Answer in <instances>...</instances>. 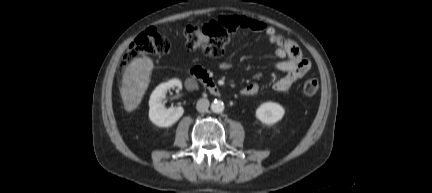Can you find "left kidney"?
<instances>
[{"mask_svg": "<svg viewBox=\"0 0 432 193\" xmlns=\"http://www.w3.org/2000/svg\"><path fill=\"white\" fill-rule=\"evenodd\" d=\"M284 108L275 102H265L256 110V117L262 123L272 125L277 123L284 116Z\"/></svg>", "mask_w": 432, "mask_h": 193, "instance_id": "5707ae66", "label": "left kidney"}]
</instances>
